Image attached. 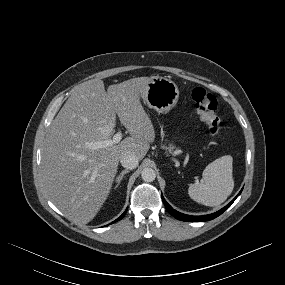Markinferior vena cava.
I'll use <instances>...</instances> for the list:
<instances>
[{"mask_svg":"<svg viewBox=\"0 0 285 285\" xmlns=\"http://www.w3.org/2000/svg\"><path fill=\"white\" fill-rule=\"evenodd\" d=\"M138 158L132 153H125L120 158L121 165L126 169H135L138 166Z\"/></svg>","mask_w":285,"mask_h":285,"instance_id":"1","label":"inferior vena cava"}]
</instances>
